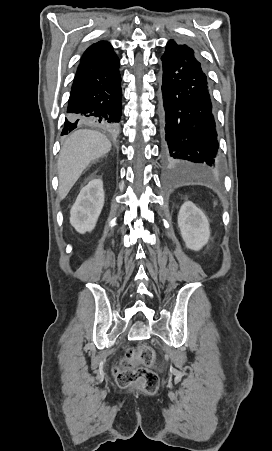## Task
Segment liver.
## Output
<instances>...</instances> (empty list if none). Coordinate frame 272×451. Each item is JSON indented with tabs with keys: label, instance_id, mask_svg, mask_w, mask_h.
<instances>
[{
	"label": "liver",
	"instance_id": "1",
	"mask_svg": "<svg viewBox=\"0 0 272 451\" xmlns=\"http://www.w3.org/2000/svg\"><path fill=\"white\" fill-rule=\"evenodd\" d=\"M111 150V142L101 132L77 130L63 144L58 158L60 200L66 198L72 186L92 160L105 156Z\"/></svg>",
	"mask_w": 272,
	"mask_h": 451
}]
</instances>
